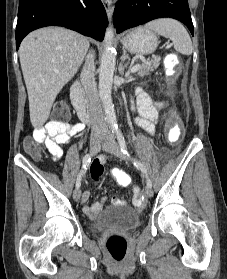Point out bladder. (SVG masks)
I'll return each instance as SVG.
<instances>
[{"mask_svg":"<svg viewBox=\"0 0 227 279\" xmlns=\"http://www.w3.org/2000/svg\"><path fill=\"white\" fill-rule=\"evenodd\" d=\"M140 225V216L132 209L124 206H115V210L101 215L88 222V229L93 234L105 230H133Z\"/></svg>","mask_w":227,"mask_h":279,"instance_id":"31cf9c89","label":"bladder"}]
</instances>
